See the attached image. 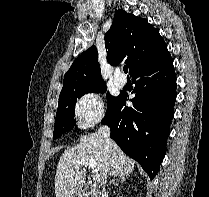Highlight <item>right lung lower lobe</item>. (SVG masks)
Wrapping results in <instances>:
<instances>
[{
	"label": "right lung lower lobe",
	"mask_w": 209,
	"mask_h": 197,
	"mask_svg": "<svg viewBox=\"0 0 209 197\" xmlns=\"http://www.w3.org/2000/svg\"><path fill=\"white\" fill-rule=\"evenodd\" d=\"M131 77L136 86L133 107L125 106L127 94L120 93L101 123L110 127L111 138L152 180L166 154L176 98V75L168 50Z\"/></svg>",
	"instance_id": "obj_1"
}]
</instances>
